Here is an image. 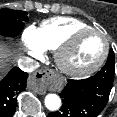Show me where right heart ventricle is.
I'll list each match as a JSON object with an SVG mask.
<instances>
[{
    "label": "right heart ventricle",
    "mask_w": 117,
    "mask_h": 117,
    "mask_svg": "<svg viewBox=\"0 0 117 117\" xmlns=\"http://www.w3.org/2000/svg\"><path fill=\"white\" fill-rule=\"evenodd\" d=\"M86 28H91V26L80 19L55 17L42 22L37 28V35L45 50H57L70 34Z\"/></svg>",
    "instance_id": "e07e8e85"
}]
</instances>
